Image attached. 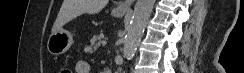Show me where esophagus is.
Listing matches in <instances>:
<instances>
[{"label":"esophagus","instance_id":"1","mask_svg":"<svg viewBox=\"0 0 244 73\" xmlns=\"http://www.w3.org/2000/svg\"><path fill=\"white\" fill-rule=\"evenodd\" d=\"M134 0H125V1H122L118 8L120 10H128L130 8V6L133 4Z\"/></svg>","mask_w":244,"mask_h":73}]
</instances>
